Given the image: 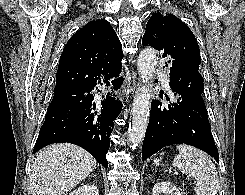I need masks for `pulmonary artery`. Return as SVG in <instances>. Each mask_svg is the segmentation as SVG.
I'll return each instance as SVG.
<instances>
[{
	"label": "pulmonary artery",
	"instance_id": "obj_1",
	"mask_svg": "<svg viewBox=\"0 0 245 195\" xmlns=\"http://www.w3.org/2000/svg\"><path fill=\"white\" fill-rule=\"evenodd\" d=\"M164 83H165L166 86H168V79H165Z\"/></svg>",
	"mask_w": 245,
	"mask_h": 195
}]
</instances>
